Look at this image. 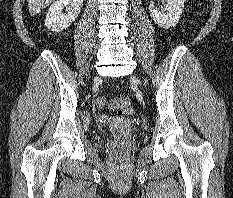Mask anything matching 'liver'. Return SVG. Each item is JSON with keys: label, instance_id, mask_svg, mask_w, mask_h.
Segmentation results:
<instances>
[{"label": "liver", "instance_id": "obj_1", "mask_svg": "<svg viewBox=\"0 0 233 198\" xmlns=\"http://www.w3.org/2000/svg\"><path fill=\"white\" fill-rule=\"evenodd\" d=\"M29 13L31 16H35L50 5L54 0H27Z\"/></svg>", "mask_w": 233, "mask_h": 198}]
</instances>
